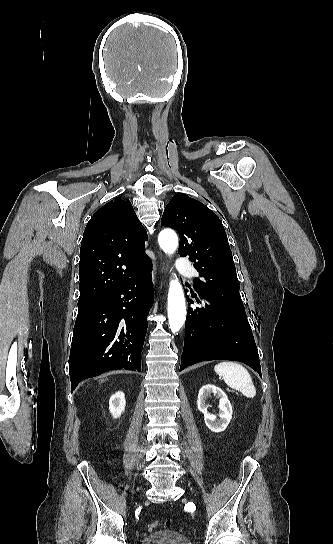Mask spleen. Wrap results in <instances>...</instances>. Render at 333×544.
<instances>
[{
  "instance_id": "1",
  "label": "spleen",
  "mask_w": 333,
  "mask_h": 544,
  "mask_svg": "<svg viewBox=\"0 0 333 544\" xmlns=\"http://www.w3.org/2000/svg\"><path fill=\"white\" fill-rule=\"evenodd\" d=\"M215 372L232 389L241 392L247 398H254L256 389L249 372L239 363L224 361L214 367Z\"/></svg>"
}]
</instances>
